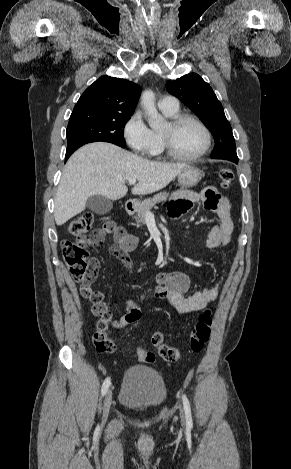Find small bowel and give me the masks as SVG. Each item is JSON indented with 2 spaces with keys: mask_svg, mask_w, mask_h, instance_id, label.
Listing matches in <instances>:
<instances>
[{
  "mask_svg": "<svg viewBox=\"0 0 291 469\" xmlns=\"http://www.w3.org/2000/svg\"><path fill=\"white\" fill-rule=\"evenodd\" d=\"M193 202H201L206 210L215 213L219 219L218 224L212 226L209 231L206 246L210 249H215L227 245L234 229L229 200L222 196L214 187H207L200 192L181 190L175 192L172 196L168 207L169 215L174 219L180 218L187 212ZM101 232V240L92 244H101L104 236L111 234L115 242L113 246L126 256L138 244L135 236L129 234L124 227L112 221L106 222ZM91 261L98 268V261L94 258ZM227 277L228 275L225 274L220 283L214 287L205 288L192 295H187L191 286V280L186 273L181 271L162 272L156 276V286L148 289L141 297L144 298L151 294L156 298H166L178 313L187 314L202 310L208 303L214 301L218 297L221 287L227 281ZM140 317L141 312L136 306L135 301L129 300L127 302L126 313L120 319L115 320L113 326L121 329L137 322Z\"/></svg>",
  "mask_w": 291,
  "mask_h": 469,
  "instance_id": "1",
  "label": "small bowel"
}]
</instances>
